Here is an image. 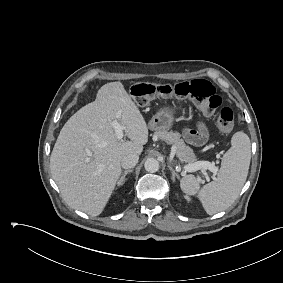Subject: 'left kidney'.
<instances>
[{"label": "left kidney", "instance_id": "5707ae66", "mask_svg": "<svg viewBox=\"0 0 283 283\" xmlns=\"http://www.w3.org/2000/svg\"><path fill=\"white\" fill-rule=\"evenodd\" d=\"M185 199H186L187 201H190V198H189L188 196H185Z\"/></svg>", "mask_w": 283, "mask_h": 283}]
</instances>
